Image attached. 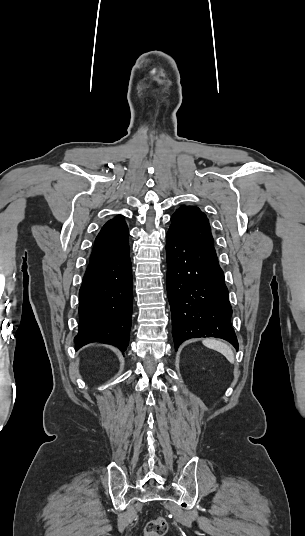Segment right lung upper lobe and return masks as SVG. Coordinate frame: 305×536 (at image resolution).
<instances>
[{"label": "right lung upper lobe", "instance_id": "1", "mask_svg": "<svg viewBox=\"0 0 305 536\" xmlns=\"http://www.w3.org/2000/svg\"><path fill=\"white\" fill-rule=\"evenodd\" d=\"M128 246V228L123 216L109 220L95 239L90 258L117 251Z\"/></svg>", "mask_w": 305, "mask_h": 536}]
</instances>
